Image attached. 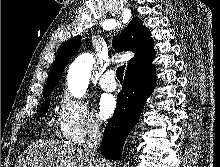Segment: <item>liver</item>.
Wrapping results in <instances>:
<instances>
[{"label": "liver", "mask_w": 220, "mask_h": 167, "mask_svg": "<svg viewBox=\"0 0 220 167\" xmlns=\"http://www.w3.org/2000/svg\"><path fill=\"white\" fill-rule=\"evenodd\" d=\"M84 149L52 140L33 142L18 158L15 167H106Z\"/></svg>", "instance_id": "6515ba94"}]
</instances>
